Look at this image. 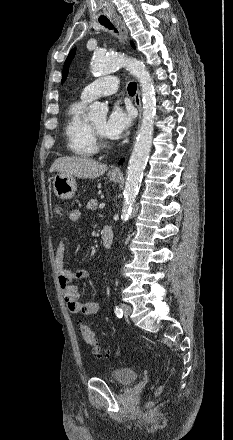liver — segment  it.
<instances>
[{"mask_svg": "<svg viewBox=\"0 0 233 440\" xmlns=\"http://www.w3.org/2000/svg\"><path fill=\"white\" fill-rule=\"evenodd\" d=\"M108 166L87 157H60L54 161L50 172L57 171L62 174L79 178H96L107 171Z\"/></svg>", "mask_w": 233, "mask_h": 440, "instance_id": "6515ba94", "label": "liver"}]
</instances>
